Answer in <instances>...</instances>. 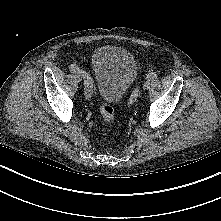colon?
Returning <instances> with one entry per match:
<instances>
[{
	"label": "colon",
	"instance_id": "colon-1",
	"mask_svg": "<svg viewBox=\"0 0 221 221\" xmlns=\"http://www.w3.org/2000/svg\"><path fill=\"white\" fill-rule=\"evenodd\" d=\"M100 112L102 119L104 120L105 123L111 125L114 123V110L112 106L106 103H101L100 105Z\"/></svg>",
	"mask_w": 221,
	"mask_h": 221
}]
</instances>
